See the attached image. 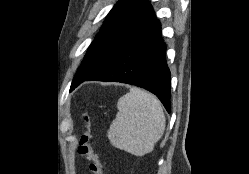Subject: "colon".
Listing matches in <instances>:
<instances>
[{"label": "colon", "instance_id": "obj_1", "mask_svg": "<svg viewBox=\"0 0 249 174\" xmlns=\"http://www.w3.org/2000/svg\"><path fill=\"white\" fill-rule=\"evenodd\" d=\"M84 131L79 139L78 153L89 163V169L93 174H102V167L98 156L89 145L90 130L87 116L83 117Z\"/></svg>", "mask_w": 249, "mask_h": 174}]
</instances>
